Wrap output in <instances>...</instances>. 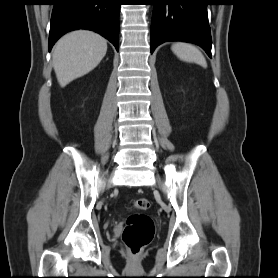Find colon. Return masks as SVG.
I'll return each instance as SVG.
<instances>
[{"mask_svg": "<svg viewBox=\"0 0 278 278\" xmlns=\"http://www.w3.org/2000/svg\"><path fill=\"white\" fill-rule=\"evenodd\" d=\"M132 204L140 211H145L150 207V202L146 198H138ZM153 237L154 223L150 216L144 213H134L128 217L122 238L130 253H139L152 241Z\"/></svg>", "mask_w": 278, "mask_h": 278, "instance_id": "1", "label": "colon"}]
</instances>
